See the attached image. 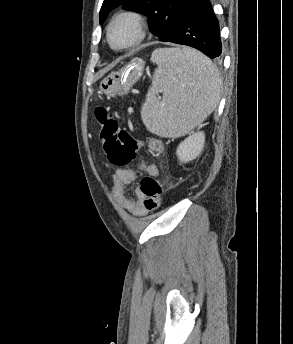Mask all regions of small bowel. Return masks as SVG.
<instances>
[{
  "mask_svg": "<svg viewBox=\"0 0 293 344\" xmlns=\"http://www.w3.org/2000/svg\"><path fill=\"white\" fill-rule=\"evenodd\" d=\"M143 172L151 176H158L159 170L157 166L149 162H141L135 167L120 169L115 172V177L118 179L121 186L126 187L134 183L137 172ZM144 195L139 189L135 190V196H126L123 192L119 194L120 204L130 213L136 216H143L146 211L143 207Z\"/></svg>",
  "mask_w": 293,
  "mask_h": 344,
  "instance_id": "obj_1",
  "label": "small bowel"
}]
</instances>
